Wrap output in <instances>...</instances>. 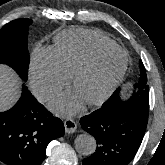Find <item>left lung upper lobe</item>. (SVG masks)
<instances>
[{
	"instance_id": "5c2ea615",
	"label": "left lung upper lobe",
	"mask_w": 165,
	"mask_h": 165,
	"mask_svg": "<svg viewBox=\"0 0 165 165\" xmlns=\"http://www.w3.org/2000/svg\"><path fill=\"white\" fill-rule=\"evenodd\" d=\"M140 77L138 83L135 85L137 91L133 92L131 98L127 102H122L119 99V91H116L104 105L107 108H124L139 110L149 113V87L147 85V75L142 61L139 62Z\"/></svg>"
}]
</instances>
